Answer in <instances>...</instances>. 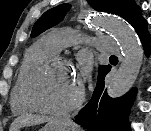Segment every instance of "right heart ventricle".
Returning a JSON list of instances; mask_svg holds the SVG:
<instances>
[{
  "instance_id": "right-heart-ventricle-1",
  "label": "right heart ventricle",
  "mask_w": 151,
  "mask_h": 131,
  "mask_svg": "<svg viewBox=\"0 0 151 131\" xmlns=\"http://www.w3.org/2000/svg\"><path fill=\"white\" fill-rule=\"evenodd\" d=\"M55 53L56 51L45 38L37 41L26 51L10 96L13 113L26 114L34 110L26 97L28 76L38 63Z\"/></svg>"
}]
</instances>
